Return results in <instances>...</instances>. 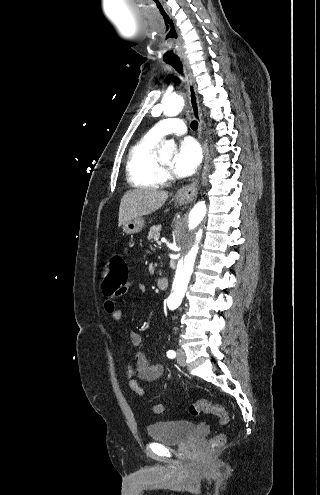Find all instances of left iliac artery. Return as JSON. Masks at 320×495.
I'll return each instance as SVG.
<instances>
[{
	"mask_svg": "<svg viewBox=\"0 0 320 495\" xmlns=\"http://www.w3.org/2000/svg\"><path fill=\"white\" fill-rule=\"evenodd\" d=\"M167 356H168V358L172 359V358H175L176 353L173 350H169V351H167Z\"/></svg>",
	"mask_w": 320,
	"mask_h": 495,
	"instance_id": "44dca946",
	"label": "left iliac artery"
}]
</instances>
